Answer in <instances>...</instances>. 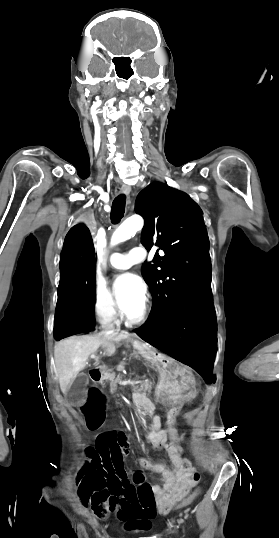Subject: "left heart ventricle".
Listing matches in <instances>:
<instances>
[{"label":"left heart ventricle","instance_id":"b2bd125f","mask_svg":"<svg viewBox=\"0 0 279 538\" xmlns=\"http://www.w3.org/2000/svg\"><path fill=\"white\" fill-rule=\"evenodd\" d=\"M142 305H138V304H135V305H131L129 307H127L126 309H124V313L128 316H134V315H137L140 311H141V308H142Z\"/></svg>","mask_w":279,"mask_h":538}]
</instances>
